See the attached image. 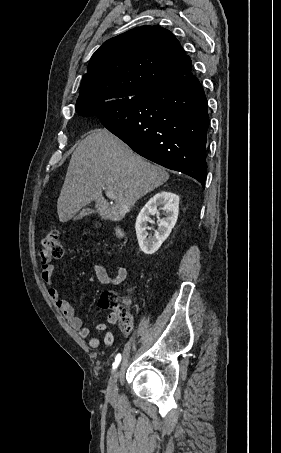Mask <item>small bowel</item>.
Returning a JSON list of instances; mask_svg holds the SVG:
<instances>
[{
    "mask_svg": "<svg viewBox=\"0 0 281 453\" xmlns=\"http://www.w3.org/2000/svg\"><path fill=\"white\" fill-rule=\"evenodd\" d=\"M91 268L98 281L102 284H121L126 280L128 274L125 267H120L117 272L113 274L108 273L104 267L99 264H92ZM41 278L46 284L49 298L56 304V307L70 322L71 326L78 331L81 338L88 339V345L91 349H98L101 342L108 348L114 345V335L111 332L106 331L107 325L105 323H98L96 326L98 332H105L103 337L90 336L89 330L84 327V320L76 314L73 305L68 300L62 298L54 282V268L47 260L41 262ZM115 322L116 316L111 315L109 317V324H114Z\"/></svg>",
    "mask_w": 281,
    "mask_h": 453,
    "instance_id": "1",
    "label": "small bowel"
}]
</instances>
